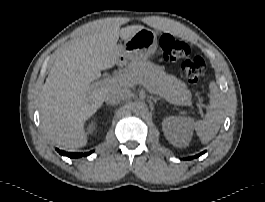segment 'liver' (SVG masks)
<instances>
[{"mask_svg":"<svg viewBox=\"0 0 265 202\" xmlns=\"http://www.w3.org/2000/svg\"><path fill=\"white\" fill-rule=\"evenodd\" d=\"M144 28L132 25L120 29L110 20H97L86 25L81 38L57 53L40 94L41 127L53 143L70 151L87 144L85 122L102 106L108 90L116 86H95L92 82L122 56L119 36L127 41Z\"/></svg>","mask_w":265,"mask_h":202,"instance_id":"obj_1","label":"liver"}]
</instances>
